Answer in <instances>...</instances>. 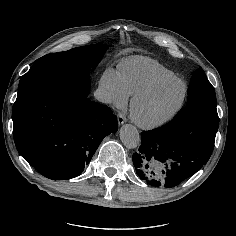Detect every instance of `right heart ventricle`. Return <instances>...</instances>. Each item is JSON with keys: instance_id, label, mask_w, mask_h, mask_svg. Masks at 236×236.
Masks as SVG:
<instances>
[{"instance_id": "right-heart-ventricle-1", "label": "right heart ventricle", "mask_w": 236, "mask_h": 236, "mask_svg": "<svg viewBox=\"0 0 236 236\" xmlns=\"http://www.w3.org/2000/svg\"><path fill=\"white\" fill-rule=\"evenodd\" d=\"M118 72L129 96L159 78L172 77L175 73L159 61L142 55H133L121 59Z\"/></svg>"}]
</instances>
